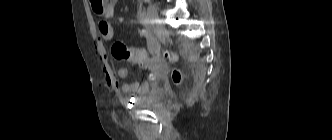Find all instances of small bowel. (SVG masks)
<instances>
[{
	"label": "small bowel",
	"mask_w": 332,
	"mask_h": 140,
	"mask_svg": "<svg viewBox=\"0 0 332 140\" xmlns=\"http://www.w3.org/2000/svg\"><path fill=\"white\" fill-rule=\"evenodd\" d=\"M118 0H111L110 5L105 10V17L109 18L113 15V4ZM114 37V34L108 37H103V39L110 41ZM158 44L155 40H148V49H138L141 54L140 59L137 61L141 66L145 67L149 62V56L157 53ZM102 67L105 74V80L109 87L113 90H118L119 88L124 94H142L149 89V83L144 80L143 82H127L120 85L119 79H126L128 77V70L126 68H120L117 72L118 78L115 76L111 70L106 59L102 58Z\"/></svg>",
	"instance_id": "1"
}]
</instances>
